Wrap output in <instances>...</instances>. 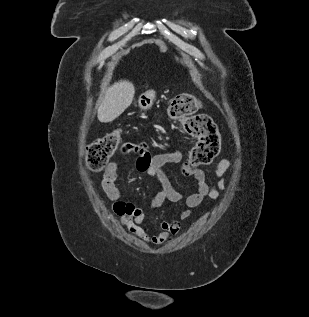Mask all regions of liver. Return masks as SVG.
<instances>
[{
    "instance_id": "6515ba94",
    "label": "liver",
    "mask_w": 309,
    "mask_h": 317,
    "mask_svg": "<svg viewBox=\"0 0 309 317\" xmlns=\"http://www.w3.org/2000/svg\"><path fill=\"white\" fill-rule=\"evenodd\" d=\"M135 88L132 82L120 80L106 89L97 117L101 122H112L118 118L132 103Z\"/></svg>"
}]
</instances>
